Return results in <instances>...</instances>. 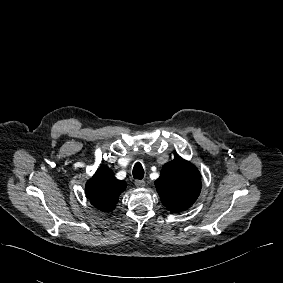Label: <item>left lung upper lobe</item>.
I'll return each mask as SVG.
<instances>
[{"instance_id": "1", "label": "left lung upper lobe", "mask_w": 283, "mask_h": 283, "mask_svg": "<svg viewBox=\"0 0 283 283\" xmlns=\"http://www.w3.org/2000/svg\"><path fill=\"white\" fill-rule=\"evenodd\" d=\"M155 185L163 205L178 213L189 208L199 196L201 176L194 165L178 156L164 164Z\"/></svg>"}]
</instances>
